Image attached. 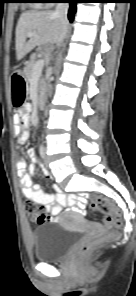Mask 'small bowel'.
<instances>
[{
    "label": "small bowel",
    "instance_id": "obj_1",
    "mask_svg": "<svg viewBox=\"0 0 136 296\" xmlns=\"http://www.w3.org/2000/svg\"><path fill=\"white\" fill-rule=\"evenodd\" d=\"M30 110L31 107L27 104L13 117L15 124L21 128V132L17 139L19 144H24L30 136V131L28 129V113ZM28 154L35 163L39 164L38 155L34 151H29ZM16 167L17 174L20 178V187L23 197L42 205L46 212L50 215L49 217L47 216V221H56V217L66 207L76 213L84 214L83 207L85 199L83 196L77 198L75 195H66L61 192L54 193L43 189L40 185L35 183V168L33 165L28 166L27 160L24 156H18ZM41 170L47 179H51V174L44 167H41Z\"/></svg>",
    "mask_w": 136,
    "mask_h": 296
}]
</instances>
